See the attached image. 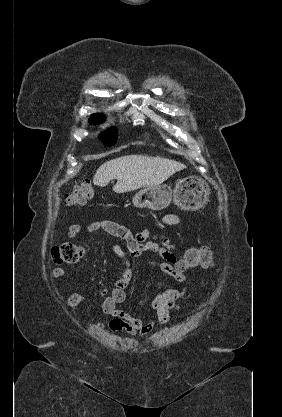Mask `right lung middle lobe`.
Returning <instances> with one entry per match:
<instances>
[{
    "label": "right lung middle lobe",
    "instance_id": "dd1d6c3e",
    "mask_svg": "<svg viewBox=\"0 0 282 417\" xmlns=\"http://www.w3.org/2000/svg\"><path fill=\"white\" fill-rule=\"evenodd\" d=\"M104 120V117L102 114H93L91 115L90 122L93 124L101 123ZM117 131L116 129H110L106 133L101 135V140L106 146H112L116 143L117 140Z\"/></svg>",
    "mask_w": 282,
    "mask_h": 417
}]
</instances>
